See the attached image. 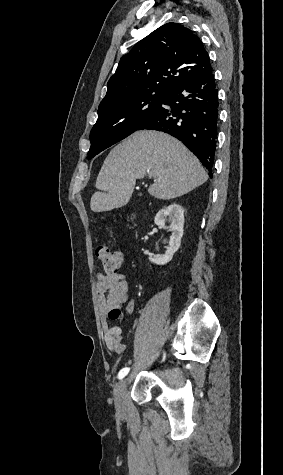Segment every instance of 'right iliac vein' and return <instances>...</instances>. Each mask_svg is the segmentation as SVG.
<instances>
[{"mask_svg":"<svg viewBox=\"0 0 283 475\" xmlns=\"http://www.w3.org/2000/svg\"><path fill=\"white\" fill-rule=\"evenodd\" d=\"M127 379H122L116 386L114 392L115 406L117 409V414L122 415L124 413L125 403L124 395L126 390Z\"/></svg>","mask_w":283,"mask_h":475,"instance_id":"1","label":"right iliac vein"}]
</instances>
